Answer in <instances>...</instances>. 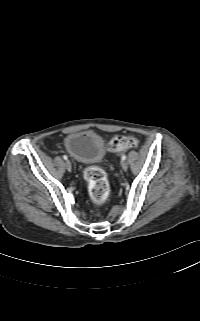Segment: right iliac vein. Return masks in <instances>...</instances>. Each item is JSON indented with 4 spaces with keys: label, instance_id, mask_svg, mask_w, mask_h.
Masks as SVG:
<instances>
[{
    "label": "right iliac vein",
    "instance_id": "1",
    "mask_svg": "<svg viewBox=\"0 0 200 321\" xmlns=\"http://www.w3.org/2000/svg\"><path fill=\"white\" fill-rule=\"evenodd\" d=\"M65 166H66V168H67L68 171H70L71 168H72L71 162H70L69 160H66Z\"/></svg>",
    "mask_w": 200,
    "mask_h": 321
}]
</instances>
